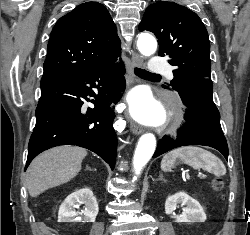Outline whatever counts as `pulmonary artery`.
<instances>
[{
  "mask_svg": "<svg viewBox=\"0 0 250 235\" xmlns=\"http://www.w3.org/2000/svg\"><path fill=\"white\" fill-rule=\"evenodd\" d=\"M149 71L154 74L163 73L166 74L169 78H173V74L170 70L169 65L165 60L158 56L154 55L148 65Z\"/></svg>",
  "mask_w": 250,
  "mask_h": 235,
  "instance_id": "1",
  "label": "pulmonary artery"
}]
</instances>
